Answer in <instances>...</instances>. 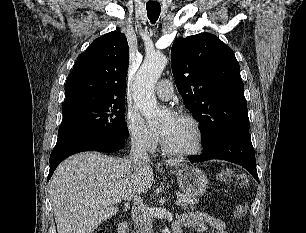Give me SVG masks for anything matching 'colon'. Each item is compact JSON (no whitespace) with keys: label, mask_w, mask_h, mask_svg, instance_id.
Returning <instances> with one entry per match:
<instances>
[{"label":"colon","mask_w":306,"mask_h":233,"mask_svg":"<svg viewBox=\"0 0 306 233\" xmlns=\"http://www.w3.org/2000/svg\"><path fill=\"white\" fill-rule=\"evenodd\" d=\"M230 176V172H224L221 176V178L223 180H227ZM237 183L240 186H244L245 185V180L243 178V176H238L237 178ZM247 213V205L245 203H240L238 205L235 206L234 211H233V216L235 219H243L245 217ZM94 233H108L107 230L105 228H100L97 229Z\"/></svg>","instance_id":"1"}]
</instances>
